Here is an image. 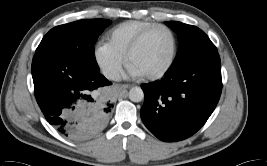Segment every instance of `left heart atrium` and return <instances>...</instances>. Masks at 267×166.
I'll return each instance as SVG.
<instances>
[{"label": "left heart atrium", "mask_w": 267, "mask_h": 166, "mask_svg": "<svg viewBox=\"0 0 267 166\" xmlns=\"http://www.w3.org/2000/svg\"><path fill=\"white\" fill-rule=\"evenodd\" d=\"M132 70H133V72H135V73L137 72L134 68H133Z\"/></svg>", "instance_id": "39dd6f15"}]
</instances>
